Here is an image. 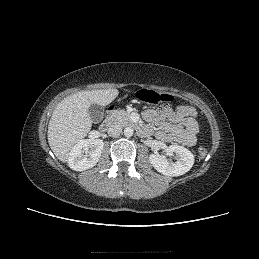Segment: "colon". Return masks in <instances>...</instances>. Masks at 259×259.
<instances>
[{
	"instance_id": "1",
	"label": "colon",
	"mask_w": 259,
	"mask_h": 259,
	"mask_svg": "<svg viewBox=\"0 0 259 259\" xmlns=\"http://www.w3.org/2000/svg\"><path fill=\"white\" fill-rule=\"evenodd\" d=\"M136 96L141 102L151 105H169V103L173 100V97L167 93H160L150 89H141L136 93ZM197 155L200 159H204L207 155L206 149L199 148Z\"/></svg>"
}]
</instances>
